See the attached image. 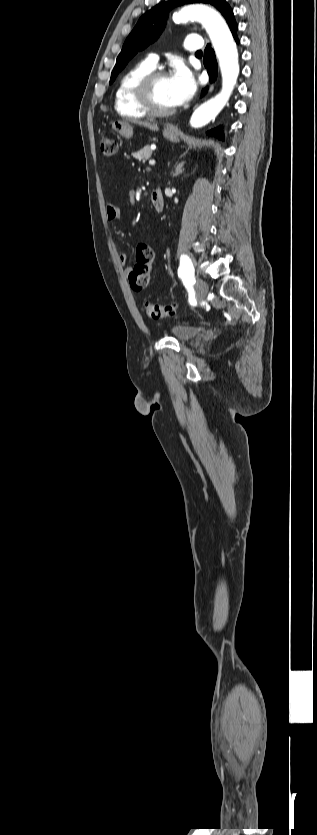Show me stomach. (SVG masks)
I'll list each match as a JSON object with an SVG mask.
<instances>
[{
  "mask_svg": "<svg viewBox=\"0 0 317 835\" xmlns=\"http://www.w3.org/2000/svg\"><path fill=\"white\" fill-rule=\"evenodd\" d=\"M113 131L119 133L125 138H130L133 135V128L132 126L122 120H116L111 123ZM163 136L171 142H179L181 133L179 131L172 130L169 126H166L163 130Z\"/></svg>",
  "mask_w": 317,
  "mask_h": 835,
  "instance_id": "0dacf381",
  "label": "stomach"
}]
</instances>
